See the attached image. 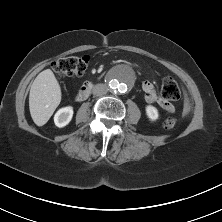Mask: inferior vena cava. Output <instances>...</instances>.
Wrapping results in <instances>:
<instances>
[{"mask_svg": "<svg viewBox=\"0 0 222 222\" xmlns=\"http://www.w3.org/2000/svg\"><path fill=\"white\" fill-rule=\"evenodd\" d=\"M93 94L96 96H103L108 92V87L106 84H96L92 90Z\"/></svg>", "mask_w": 222, "mask_h": 222, "instance_id": "602c4592", "label": "inferior vena cava"}]
</instances>
